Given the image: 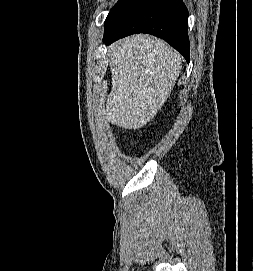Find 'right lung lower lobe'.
Returning a JSON list of instances; mask_svg holds the SVG:
<instances>
[{"instance_id":"right-lung-lower-lobe-1","label":"right lung lower lobe","mask_w":253,"mask_h":271,"mask_svg":"<svg viewBox=\"0 0 253 271\" xmlns=\"http://www.w3.org/2000/svg\"><path fill=\"white\" fill-rule=\"evenodd\" d=\"M188 10L182 0H135L111 31L106 44L135 33H148L168 42L189 62Z\"/></svg>"}]
</instances>
